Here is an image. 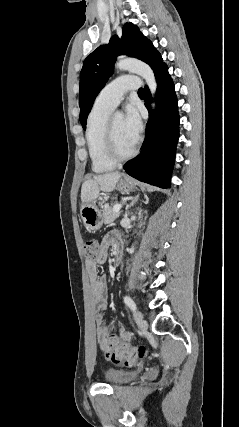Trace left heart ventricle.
<instances>
[{
    "instance_id": "obj_1",
    "label": "left heart ventricle",
    "mask_w": 239,
    "mask_h": 427,
    "mask_svg": "<svg viewBox=\"0 0 239 427\" xmlns=\"http://www.w3.org/2000/svg\"><path fill=\"white\" fill-rule=\"evenodd\" d=\"M113 132L116 148L119 153L125 154L132 150L135 143L129 138L123 126V118L121 116L113 117Z\"/></svg>"
}]
</instances>
